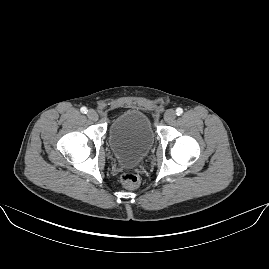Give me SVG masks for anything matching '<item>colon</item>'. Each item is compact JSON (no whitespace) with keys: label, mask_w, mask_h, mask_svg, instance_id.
I'll list each match as a JSON object with an SVG mask.
<instances>
[{"label":"colon","mask_w":269,"mask_h":269,"mask_svg":"<svg viewBox=\"0 0 269 269\" xmlns=\"http://www.w3.org/2000/svg\"><path fill=\"white\" fill-rule=\"evenodd\" d=\"M120 181L127 189L137 190L142 185V180L139 176L132 172H124L120 176Z\"/></svg>","instance_id":"colon-1"}]
</instances>
